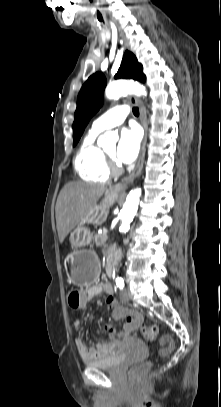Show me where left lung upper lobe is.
<instances>
[{
  "instance_id": "left-lung-upper-lobe-1",
  "label": "left lung upper lobe",
  "mask_w": 221,
  "mask_h": 407,
  "mask_svg": "<svg viewBox=\"0 0 221 407\" xmlns=\"http://www.w3.org/2000/svg\"><path fill=\"white\" fill-rule=\"evenodd\" d=\"M114 78H133L141 82L146 80L142 65L128 51L125 52L122 64ZM106 84V77L101 72H96L82 86L77 98V109L74 115V145L79 141L91 117L100 109Z\"/></svg>"
}]
</instances>
